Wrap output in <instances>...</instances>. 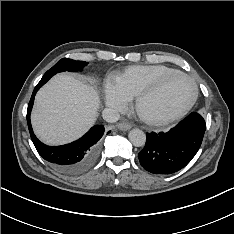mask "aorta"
<instances>
[{
	"mask_svg": "<svg viewBox=\"0 0 234 234\" xmlns=\"http://www.w3.org/2000/svg\"><path fill=\"white\" fill-rule=\"evenodd\" d=\"M128 138L130 142L136 147H141L146 142V135L140 129H132L128 134Z\"/></svg>",
	"mask_w": 234,
	"mask_h": 234,
	"instance_id": "aorta-1",
	"label": "aorta"
}]
</instances>
